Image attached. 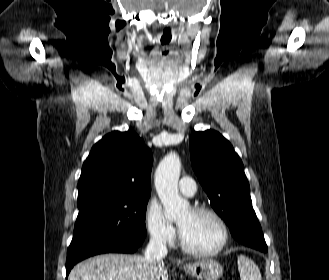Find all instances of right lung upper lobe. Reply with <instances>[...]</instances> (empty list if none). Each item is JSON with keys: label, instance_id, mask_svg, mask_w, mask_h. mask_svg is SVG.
Wrapping results in <instances>:
<instances>
[{"label": "right lung upper lobe", "instance_id": "1", "mask_svg": "<svg viewBox=\"0 0 329 280\" xmlns=\"http://www.w3.org/2000/svg\"><path fill=\"white\" fill-rule=\"evenodd\" d=\"M152 153L135 132L113 131L91 149L78 181V200L150 196Z\"/></svg>", "mask_w": 329, "mask_h": 280}]
</instances>
